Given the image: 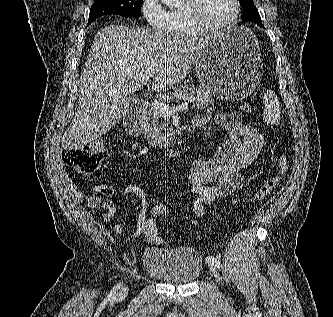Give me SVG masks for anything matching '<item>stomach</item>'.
Instances as JSON below:
<instances>
[{
	"mask_svg": "<svg viewBox=\"0 0 333 317\" xmlns=\"http://www.w3.org/2000/svg\"><path fill=\"white\" fill-rule=\"evenodd\" d=\"M198 80L209 94L226 101L257 95L261 51L256 35L244 26L215 34L195 61Z\"/></svg>",
	"mask_w": 333,
	"mask_h": 317,
	"instance_id": "stomach-1",
	"label": "stomach"
}]
</instances>
